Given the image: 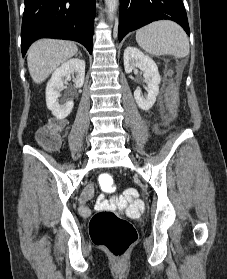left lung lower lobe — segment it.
<instances>
[{
    "label": "left lung lower lobe",
    "instance_id": "1",
    "mask_svg": "<svg viewBox=\"0 0 227 279\" xmlns=\"http://www.w3.org/2000/svg\"><path fill=\"white\" fill-rule=\"evenodd\" d=\"M162 19L177 22L190 35L182 0H120L119 41L129 32Z\"/></svg>",
    "mask_w": 227,
    "mask_h": 279
}]
</instances>
